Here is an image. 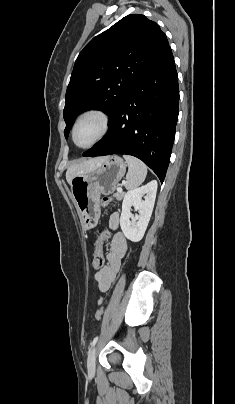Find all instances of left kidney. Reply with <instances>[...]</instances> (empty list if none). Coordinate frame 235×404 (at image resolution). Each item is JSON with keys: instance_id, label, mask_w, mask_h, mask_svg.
Instances as JSON below:
<instances>
[{"instance_id": "1", "label": "left kidney", "mask_w": 235, "mask_h": 404, "mask_svg": "<svg viewBox=\"0 0 235 404\" xmlns=\"http://www.w3.org/2000/svg\"><path fill=\"white\" fill-rule=\"evenodd\" d=\"M157 192V181L128 191L123 199L120 226L125 237L132 242H139L147 229L152 215ZM145 196V200L142 197ZM139 211L135 217L131 213V207ZM132 219V221H130Z\"/></svg>"}]
</instances>
